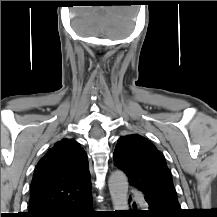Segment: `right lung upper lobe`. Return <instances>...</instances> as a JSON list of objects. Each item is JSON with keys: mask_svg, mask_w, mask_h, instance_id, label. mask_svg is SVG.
Segmentation results:
<instances>
[{"mask_svg": "<svg viewBox=\"0 0 217 217\" xmlns=\"http://www.w3.org/2000/svg\"><path fill=\"white\" fill-rule=\"evenodd\" d=\"M88 158L80 144L63 139L38 162L31 183L27 217H41L91 195Z\"/></svg>", "mask_w": 217, "mask_h": 217, "instance_id": "cb5924a9", "label": "right lung upper lobe"}]
</instances>
